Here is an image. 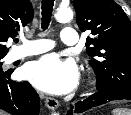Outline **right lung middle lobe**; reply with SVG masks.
<instances>
[{"instance_id": "dd1d6c3e", "label": "right lung middle lobe", "mask_w": 131, "mask_h": 115, "mask_svg": "<svg viewBox=\"0 0 131 115\" xmlns=\"http://www.w3.org/2000/svg\"><path fill=\"white\" fill-rule=\"evenodd\" d=\"M3 57H0V73H3V72H5V71H3V69H2V62H1V59H2Z\"/></svg>"}]
</instances>
